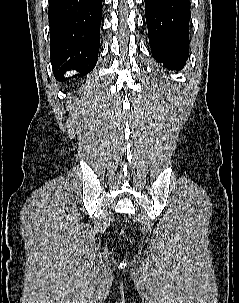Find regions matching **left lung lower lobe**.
Returning <instances> with one entry per match:
<instances>
[{"label":"left lung lower lobe","mask_w":239,"mask_h":303,"mask_svg":"<svg viewBox=\"0 0 239 303\" xmlns=\"http://www.w3.org/2000/svg\"><path fill=\"white\" fill-rule=\"evenodd\" d=\"M153 57L169 69H181L189 52V0H145Z\"/></svg>","instance_id":"obj_1"}]
</instances>
